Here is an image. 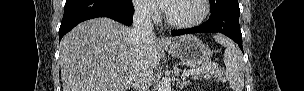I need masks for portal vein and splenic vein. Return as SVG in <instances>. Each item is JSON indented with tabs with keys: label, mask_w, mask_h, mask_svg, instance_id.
Listing matches in <instances>:
<instances>
[{
	"label": "portal vein and splenic vein",
	"mask_w": 304,
	"mask_h": 91,
	"mask_svg": "<svg viewBox=\"0 0 304 91\" xmlns=\"http://www.w3.org/2000/svg\"><path fill=\"white\" fill-rule=\"evenodd\" d=\"M210 68L217 69L218 68V64L217 63H210V64H207L206 66H204L202 68L185 70L182 73V78L184 79V78H186V77H188L190 75L200 73V72L204 71L205 69H210Z\"/></svg>",
	"instance_id": "18ae733b"
}]
</instances>
